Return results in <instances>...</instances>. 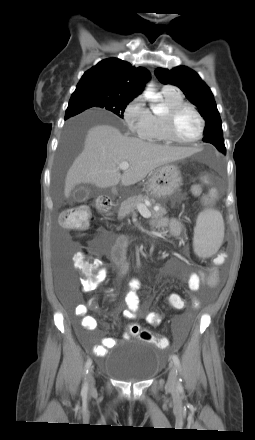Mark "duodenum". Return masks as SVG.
<instances>
[{
	"mask_svg": "<svg viewBox=\"0 0 255 440\" xmlns=\"http://www.w3.org/2000/svg\"><path fill=\"white\" fill-rule=\"evenodd\" d=\"M97 207L102 212H109L111 210L112 204L108 199H99L97 201Z\"/></svg>",
	"mask_w": 255,
	"mask_h": 440,
	"instance_id": "1",
	"label": "duodenum"
}]
</instances>
